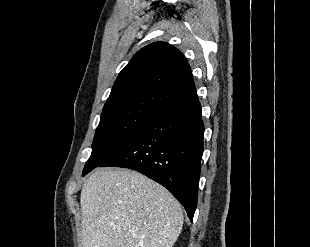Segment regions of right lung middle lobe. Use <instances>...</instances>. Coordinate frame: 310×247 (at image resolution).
I'll list each match as a JSON object with an SVG mask.
<instances>
[{"instance_id": "obj_1", "label": "right lung middle lobe", "mask_w": 310, "mask_h": 247, "mask_svg": "<svg viewBox=\"0 0 310 247\" xmlns=\"http://www.w3.org/2000/svg\"><path fill=\"white\" fill-rule=\"evenodd\" d=\"M159 110L149 106H135L101 115L92 143V154L82 175L98 167L121 148Z\"/></svg>"}]
</instances>
